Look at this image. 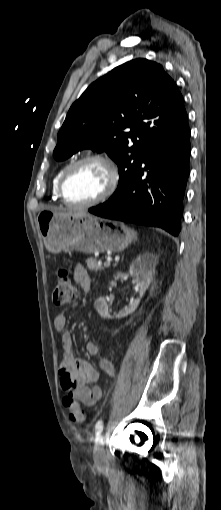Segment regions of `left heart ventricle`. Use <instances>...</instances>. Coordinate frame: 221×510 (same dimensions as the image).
<instances>
[{"label":"left heart ventricle","mask_w":221,"mask_h":510,"mask_svg":"<svg viewBox=\"0 0 221 510\" xmlns=\"http://www.w3.org/2000/svg\"><path fill=\"white\" fill-rule=\"evenodd\" d=\"M108 171L98 162L74 168L65 182V195L71 202L83 203L99 196L108 184Z\"/></svg>","instance_id":"left-heart-ventricle-1"}]
</instances>
